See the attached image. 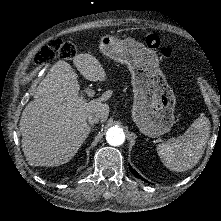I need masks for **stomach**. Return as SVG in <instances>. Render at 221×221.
I'll return each instance as SVG.
<instances>
[{
	"instance_id": "stomach-1",
	"label": "stomach",
	"mask_w": 221,
	"mask_h": 221,
	"mask_svg": "<svg viewBox=\"0 0 221 221\" xmlns=\"http://www.w3.org/2000/svg\"><path fill=\"white\" fill-rule=\"evenodd\" d=\"M98 47L103 55L127 64L134 92L132 114L139 129L150 137L168 132L174 123L176 98L161 73L158 57L139 42L111 34L102 35Z\"/></svg>"
}]
</instances>
